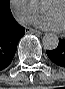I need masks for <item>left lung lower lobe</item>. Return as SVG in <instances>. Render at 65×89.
I'll return each mask as SVG.
<instances>
[{
    "instance_id": "0a47b994",
    "label": "left lung lower lobe",
    "mask_w": 65,
    "mask_h": 89,
    "mask_svg": "<svg viewBox=\"0 0 65 89\" xmlns=\"http://www.w3.org/2000/svg\"><path fill=\"white\" fill-rule=\"evenodd\" d=\"M46 53L53 63L65 68V38L60 39L56 49L47 51Z\"/></svg>"
}]
</instances>
